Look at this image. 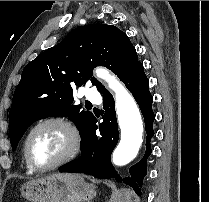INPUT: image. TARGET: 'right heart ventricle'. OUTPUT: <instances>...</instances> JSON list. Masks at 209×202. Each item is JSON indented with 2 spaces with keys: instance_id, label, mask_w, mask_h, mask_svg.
Masks as SVG:
<instances>
[{
  "instance_id": "1",
  "label": "right heart ventricle",
  "mask_w": 209,
  "mask_h": 202,
  "mask_svg": "<svg viewBox=\"0 0 209 202\" xmlns=\"http://www.w3.org/2000/svg\"><path fill=\"white\" fill-rule=\"evenodd\" d=\"M24 164H25L26 171H27L28 173H33V172H34V170H32V169L29 167V165L27 164V162H26V160H25V157H24Z\"/></svg>"
}]
</instances>
